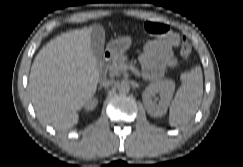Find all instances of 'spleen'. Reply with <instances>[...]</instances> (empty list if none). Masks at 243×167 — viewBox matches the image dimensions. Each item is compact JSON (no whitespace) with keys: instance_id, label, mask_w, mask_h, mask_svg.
Listing matches in <instances>:
<instances>
[{"instance_id":"1","label":"spleen","mask_w":243,"mask_h":167,"mask_svg":"<svg viewBox=\"0 0 243 167\" xmlns=\"http://www.w3.org/2000/svg\"><path fill=\"white\" fill-rule=\"evenodd\" d=\"M182 85L176 92L169 110V124H186L197 112L203 97V74L200 66L181 74Z\"/></svg>"}]
</instances>
